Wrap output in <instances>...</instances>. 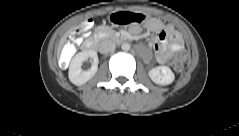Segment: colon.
<instances>
[{
    "instance_id": "1",
    "label": "colon",
    "mask_w": 239,
    "mask_h": 136,
    "mask_svg": "<svg viewBox=\"0 0 239 136\" xmlns=\"http://www.w3.org/2000/svg\"><path fill=\"white\" fill-rule=\"evenodd\" d=\"M90 26H91V20H86L84 23V26L80 30L77 31V34L82 32L83 30L88 29ZM63 52L68 55H73L75 53V47L73 45L72 38H70V40L67 41V43L64 45ZM185 58H186V53L183 50L177 52L174 55L172 65H173V69L176 72L182 71Z\"/></svg>"
}]
</instances>
